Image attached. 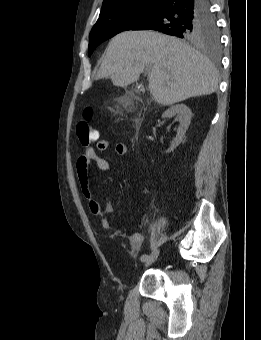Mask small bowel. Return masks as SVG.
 Here are the masks:
<instances>
[{
  "instance_id": "c3829d8e",
  "label": "small bowel",
  "mask_w": 261,
  "mask_h": 340,
  "mask_svg": "<svg viewBox=\"0 0 261 340\" xmlns=\"http://www.w3.org/2000/svg\"><path fill=\"white\" fill-rule=\"evenodd\" d=\"M108 146L109 142L106 139H97L96 147L98 151H105ZM114 151L118 156H124L127 153V147L123 143H117L114 147ZM91 162H95L97 167L104 172L110 170V164L105 158L99 156L96 150L90 146L85 147L83 154L80 155L76 161V173L79 187L83 197L87 202L88 210L92 215H99L102 212V207L91 189L88 174V168ZM101 226L104 230H112L111 224L107 218L101 219ZM116 235L119 237H127L129 239L130 248L132 251H135L143 240L142 232H134L127 236L125 233L117 231Z\"/></svg>"
}]
</instances>
